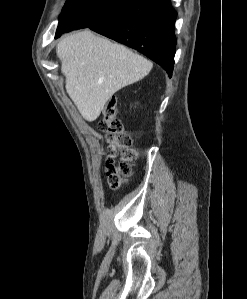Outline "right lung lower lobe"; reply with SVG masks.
<instances>
[{
	"mask_svg": "<svg viewBox=\"0 0 247 299\" xmlns=\"http://www.w3.org/2000/svg\"><path fill=\"white\" fill-rule=\"evenodd\" d=\"M176 17L170 0H134L116 16L90 29L143 53L171 76Z\"/></svg>",
	"mask_w": 247,
	"mask_h": 299,
	"instance_id": "right-lung-lower-lobe-1",
	"label": "right lung lower lobe"
}]
</instances>
